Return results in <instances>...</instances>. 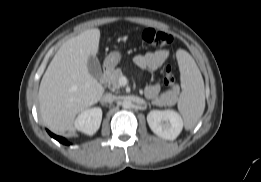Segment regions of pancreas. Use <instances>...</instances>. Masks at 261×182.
Instances as JSON below:
<instances>
[{
  "label": "pancreas",
  "instance_id": "obj_1",
  "mask_svg": "<svg viewBox=\"0 0 261 182\" xmlns=\"http://www.w3.org/2000/svg\"><path fill=\"white\" fill-rule=\"evenodd\" d=\"M123 77L122 70L120 68H117L115 70H112L108 75H107V82L108 85L111 86L113 89H118L121 87L119 81L120 78ZM176 101V95L171 94V93H164L160 96V98H157L153 101L155 104H164V103H169L173 104Z\"/></svg>",
  "mask_w": 261,
  "mask_h": 182
}]
</instances>
